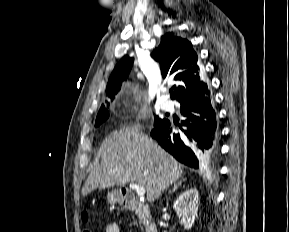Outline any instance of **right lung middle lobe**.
Here are the masks:
<instances>
[{"mask_svg":"<svg viewBox=\"0 0 289 232\" xmlns=\"http://www.w3.org/2000/svg\"><path fill=\"white\" fill-rule=\"evenodd\" d=\"M112 100H113V98H112ZM108 110H109V103L104 104L103 106H101V108H100V110L98 112L97 118H96L95 126H99L102 122H104L108 118V116H109ZM163 121H164V119H159L156 116L155 120H154V126L160 124Z\"/></svg>","mask_w":289,"mask_h":232,"instance_id":"right-lung-middle-lobe-1","label":"right lung middle lobe"}]
</instances>
